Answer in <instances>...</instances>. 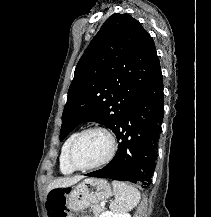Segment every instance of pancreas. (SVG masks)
Instances as JSON below:
<instances>
[{
    "instance_id": "pancreas-1",
    "label": "pancreas",
    "mask_w": 211,
    "mask_h": 217,
    "mask_svg": "<svg viewBox=\"0 0 211 217\" xmlns=\"http://www.w3.org/2000/svg\"><path fill=\"white\" fill-rule=\"evenodd\" d=\"M91 210L95 214V217H98L103 212V208H101L98 204L91 205Z\"/></svg>"
}]
</instances>
